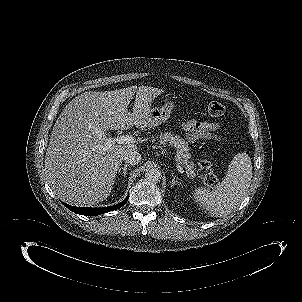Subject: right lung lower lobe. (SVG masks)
<instances>
[{
    "label": "right lung lower lobe",
    "mask_w": 302,
    "mask_h": 302,
    "mask_svg": "<svg viewBox=\"0 0 302 302\" xmlns=\"http://www.w3.org/2000/svg\"><path fill=\"white\" fill-rule=\"evenodd\" d=\"M128 196L123 200L121 203L111 206V207H105V208H79V207H74L71 205L64 204L69 210L73 211L74 213L81 214V215H86V216H95V215H100L112 210L119 209L122 207L127 201H128Z\"/></svg>",
    "instance_id": "1"
}]
</instances>
